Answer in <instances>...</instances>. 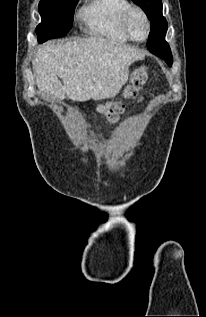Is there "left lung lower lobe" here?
<instances>
[{
  "label": "left lung lower lobe",
  "mask_w": 206,
  "mask_h": 317,
  "mask_svg": "<svg viewBox=\"0 0 206 317\" xmlns=\"http://www.w3.org/2000/svg\"><path fill=\"white\" fill-rule=\"evenodd\" d=\"M148 50L161 57L162 59H168L167 55L171 54L170 47L166 41H153L152 44H147Z\"/></svg>",
  "instance_id": "left-lung-lower-lobe-1"
}]
</instances>
